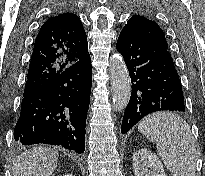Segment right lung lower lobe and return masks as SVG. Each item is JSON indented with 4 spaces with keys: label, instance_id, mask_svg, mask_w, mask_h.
Instances as JSON below:
<instances>
[{
    "label": "right lung lower lobe",
    "instance_id": "obj_1",
    "mask_svg": "<svg viewBox=\"0 0 205 176\" xmlns=\"http://www.w3.org/2000/svg\"><path fill=\"white\" fill-rule=\"evenodd\" d=\"M91 83L88 54L23 95L20 117L14 129L15 141L23 145H61L83 153Z\"/></svg>",
    "mask_w": 205,
    "mask_h": 176
}]
</instances>
